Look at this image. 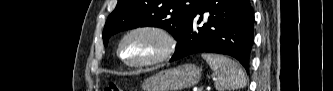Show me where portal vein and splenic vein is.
<instances>
[{"label": "portal vein and splenic vein", "mask_w": 333, "mask_h": 91, "mask_svg": "<svg viewBox=\"0 0 333 91\" xmlns=\"http://www.w3.org/2000/svg\"><path fill=\"white\" fill-rule=\"evenodd\" d=\"M193 91H199L197 87H194L193 88Z\"/></svg>", "instance_id": "18ae733b"}]
</instances>
